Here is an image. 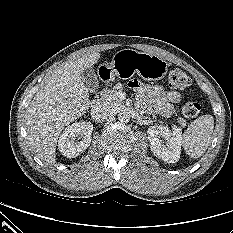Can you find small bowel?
Here are the masks:
<instances>
[{
	"label": "small bowel",
	"instance_id": "c3829d8e",
	"mask_svg": "<svg viewBox=\"0 0 233 233\" xmlns=\"http://www.w3.org/2000/svg\"><path fill=\"white\" fill-rule=\"evenodd\" d=\"M130 86L136 93L138 108L163 116L172 115L174 104L183 98L180 92L165 90L160 85L144 84L134 80L130 82Z\"/></svg>",
	"mask_w": 233,
	"mask_h": 233
}]
</instances>
